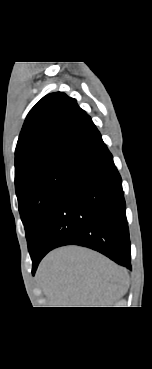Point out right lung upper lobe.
Returning a JSON list of instances; mask_svg holds the SVG:
<instances>
[{
  "mask_svg": "<svg viewBox=\"0 0 152 369\" xmlns=\"http://www.w3.org/2000/svg\"><path fill=\"white\" fill-rule=\"evenodd\" d=\"M100 139V132L75 99L63 92L46 95L22 127L15 150V183L55 162H75Z\"/></svg>",
  "mask_w": 152,
  "mask_h": 369,
  "instance_id": "1",
  "label": "right lung upper lobe"
}]
</instances>
